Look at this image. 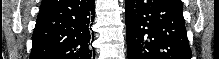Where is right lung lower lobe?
Wrapping results in <instances>:
<instances>
[{"instance_id":"right-lung-lower-lobe-1","label":"right lung lower lobe","mask_w":219,"mask_h":59,"mask_svg":"<svg viewBox=\"0 0 219 59\" xmlns=\"http://www.w3.org/2000/svg\"><path fill=\"white\" fill-rule=\"evenodd\" d=\"M94 0H43L30 59H91Z\"/></svg>"}]
</instances>
